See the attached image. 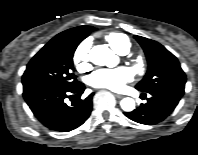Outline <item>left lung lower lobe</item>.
I'll return each mask as SVG.
<instances>
[{
	"mask_svg": "<svg viewBox=\"0 0 198 155\" xmlns=\"http://www.w3.org/2000/svg\"><path fill=\"white\" fill-rule=\"evenodd\" d=\"M149 94L151 97L147 99L146 104H141L134 111L124 112V114L129 119L141 124H157L172 113L183 96L184 90L164 87L149 92Z\"/></svg>",
	"mask_w": 198,
	"mask_h": 155,
	"instance_id": "left-lung-lower-lobe-1",
	"label": "left lung lower lobe"
}]
</instances>
